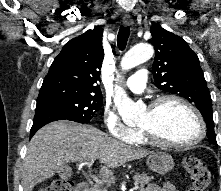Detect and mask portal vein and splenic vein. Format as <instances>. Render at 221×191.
Instances as JSON below:
<instances>
[{
  "label": "portal vein and splenic vein",
  "instance_id": "1",
  "mask_svg": "<svg viewBox=\"0 0 221 191\" xmlns=\"http://www.w3.org/2000/svg\"><path fill=\"white\" fill-rule=\"evenodd\" d=\"M93 162H94V159H92V160H90V162H87V163H86L87 166H88V168H90V167L92 166ZM95 182H96L97 184H102V181H101V180H98V179H96ZM133 189H138V185H135V186L133 187Z\"/></svg>",
  "mask_w": 221,
  "mask_h": 191
}]
</instances>
